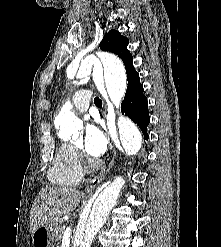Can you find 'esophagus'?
Segmentation results:
<instances>
[{"label": "esophagus", "instance_id": "34e87169", "mask_svg": "<svg viewBox=\"0 0 221 247\" xmlns=\"http://www.w3.org/2000/svg\"><path fill=\"white\" fill-rule=\"evenodd\" d=\"M114 164V159H112V161L110 162V164L108 165V167L102 171L97 177H95L86 187V191H92L95 187H97L102 181L103 179L106 177V175L110 172V169L112 168Z\"/></svg>", "mask_w": 221, "mask_h": 247}]
</instances>
